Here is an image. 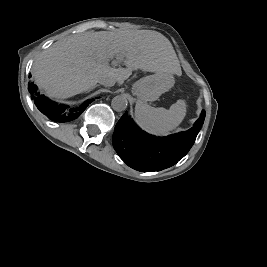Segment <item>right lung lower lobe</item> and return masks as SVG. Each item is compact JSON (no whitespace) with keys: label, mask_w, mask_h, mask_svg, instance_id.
<instances>
[{"label":"right lung lower lobe","mask_w":267,"mask_h":267,"mask_svg":"<svg viewBox=\"0 0 267 267\" xmlns=\"http://www.w3.org/2000/svg\"><path fill=\"white\" fill-rule=\"evenodd\" d=\"M28 89L31 94V98L34 101L38 110L44 115H46L50 120L56 122H68L76 119L83 113L86 107L94 100V99L90 101L87 100L79 107L70 108L67 105L53 102L44 95H40L39 92L37 91V86L34 85L33 83L29 84Z\"/></svg>","instance_id":"1"}]
</instances>
